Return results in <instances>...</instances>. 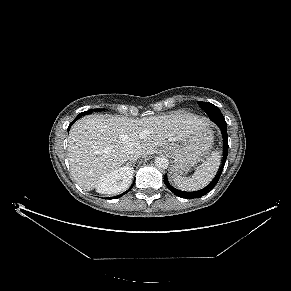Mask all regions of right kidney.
Instances as JSON below:
<instances>
[{"mask_svg":"<svg viewBox=\"0 0 291 291\" xmlns=\"http://www.w3.org/2000/svg\"><path fill=\"white\" fill-rule=\"evenodd\" d=\"M133 172V168L124 166L107 173L98 181L97 192L102 194H117L121 192L131 180Z\"/></svg>","mask_w":291,"mask_h":291,"instance_id":"ca27d5eb","label":"right kidney"}]
</instances>
